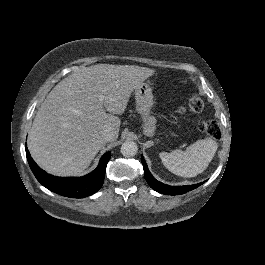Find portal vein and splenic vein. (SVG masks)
<instances>
[{"instance_id":"portal-vein-and-splenic-vein-1","label":"portal vein and splenic vein","mask_w":265,"mask_h":265,"mask_svg":"<svg viewBox=\"0 0 265 265\" xmlns=\"http://www.w3.org/2000/svg\"><path fill=\"white\" fill-rule=\"evenodd\" d=\"M98 99H99L100 106H103V103H104V100H105L104 95L103 94H98Z\"/></svg>"}]
</instances>
